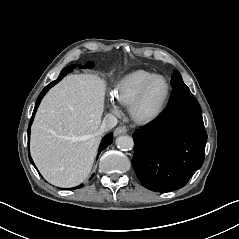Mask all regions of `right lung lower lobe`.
<instances>
[{
    "instance_id": "1",
    "label": "right lung lower lobe",
    "mask_w": 239,
    "mask_h": 239,
    "mask_svg": "<svg viewBox=\"0 0 239 239\" xmlns=\"http://www.w3.org/2000/svg\"><path fill=\"white\" fill-rule=\"evenodd\" d=\"M75 66H69V67H65L62 69V71L60 72V75L59 77L57 78V80L51 82L47 87H45L43 89V91L40 93V95L38 96L37 98V101H36V104H35V108H34V111H33V114H32V118H31V121L29 123V128H28V141H29V137H30V125L32 124V121L34 119V115L36 113V110L41 102V99L43 98V96L47 93V91L53 87L55 84H57L60 80H62L68 73H70L73 69H74ZM85 67H93V64L92 63H88ZM112 139H113V133H109L108 135H106L103 139H102V142L100 144V147H99V151H98V156L99 154L101 153L102 150H104L109 144L112 143ZM29 159L30 161L32 162V164L34 165L30 155H29ZM35 166V165H34ZM36 168V167H35ZM93 177V175L91 176V178ZM84 184H81L75 188H70L68 190H73V189H76V188H81L83 187Z\"/></svg>"
}]
</instances>
